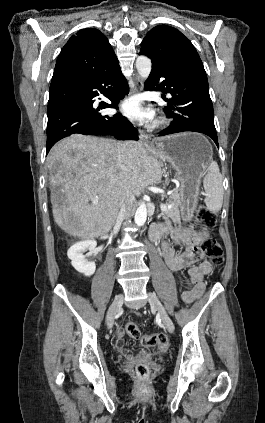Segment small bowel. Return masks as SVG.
<instances>
[{
    "label": "small bowel",
    "mask_w": 265,
    "mask_h": 423,
    "mask_svg": "<svg viewBox=\"0 0 265 423\" xmlns=\"http://www.w3.org/2000/svg\"><path fill=\"white\" fill-rule=\"evenodd\" d=\"M155 227L162 229L164 235H168L173 244L183 245L185 247L182 253L176 254L171 242L165 240L162 243V253L171 271L178 274L180 271L187 269L189 281L184 286L182 300L185 303H191L202 294L204 290L203 277L208 275L212 270L210 263L203 261L199 252V244L203 236L190 228L174 227L172 221L169 219ZM116 335V350L124 358L130 360L132 355L124 346L123 330H117Z\"/></svg>",
    "instance_id": "small-bowel-1"
}]
</instances>
